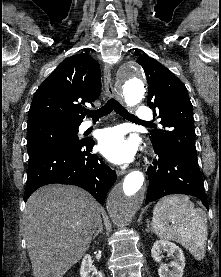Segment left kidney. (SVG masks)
I'll return each mask as SVG.
<instances>
[{"label": "left kidney", "instance_id": "obj_1", "mask_svg": "<svg viewBox=\"0 0 221 277\" xmlns=\"http://www.w3.org/2000/svg\"><path fill=\"white\" fill-rule=\"evenodd\" d=\"M162 252H168L172 254L175 258L174 261L169 264L162 263ZM152 258L160 263L158 274L160 277H182L183 270L185 267V257L179 246L167 241V240H157L151 249ZM172 267V270H169Z\"/></svg>", "mask_w": 221, "mask_h": 277}]
</instances>
